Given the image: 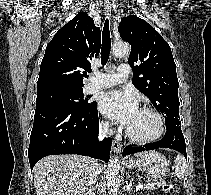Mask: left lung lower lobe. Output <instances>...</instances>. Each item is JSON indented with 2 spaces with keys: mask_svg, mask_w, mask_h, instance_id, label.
I'll return each instance as SVG.
<instances>
[{
  "mask_svg": "<svg viewBox=\"0 0 211 195\" xmlns=\"http://www.w3.org/2000/svg\"><path fill=\"white\" fill-rule=\"evenodd\" d=\"M157 148H170L177 150L178 152L182 153L184 157L187 159L186 144L183 133L181 131V127H173L167 129L165 136L160 141L150 143L144 147L127 146L123 150V156L133 154L136 152L153 150Z\"/></svg>",
  "mask_w": 211,
  "mask_h": 195,
  "instance_id": "0a47b994",
  "label": "left lung lower lobe"
}]
</instances>
